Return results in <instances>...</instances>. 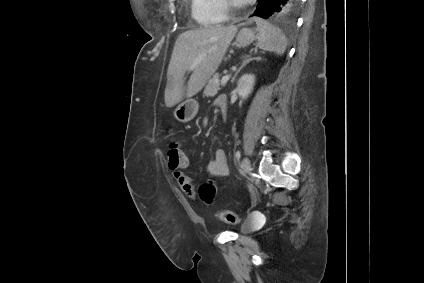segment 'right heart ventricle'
<instances>
[{
  "mask_svg": "<svg viewBox=\"0 0 424 283\" xmlns=\"http://www.w3.org/2000/svg\"><path fill=\"white\" fill-rule=\"evenodd\" d=\"M192 17L203 27H213L226 20L223 0H191Z\"/></svg>",
  "mask_w": 424,
  "mask_h": 283,
  "instance_id": "obj_1",
  "label": "right heart ventricle"
}]
</instances>
